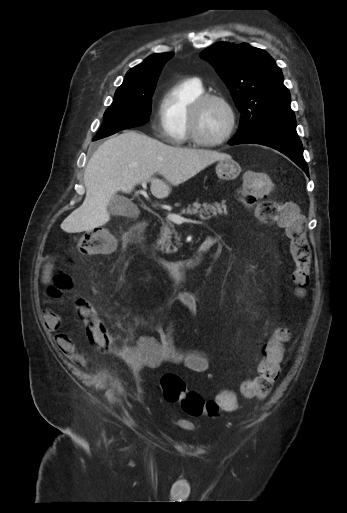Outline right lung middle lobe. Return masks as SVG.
Here are the masks:
<instances>
[{"label":"right lung middle lobe","instance_id":"1","mask_svg":"<svg viewBox=\"0 0 347 513\" xmlns=\"http://www.w3.org/2000/svg\"><path fill=\"white\" fill-rule=\"evenodd\" d=\"M155 88L156 82L139 88H118L112 104L103 116L104 122L93 140L147 123Z\"/></svg>","mask_w":347,"mask_h":513}]
</instances>
